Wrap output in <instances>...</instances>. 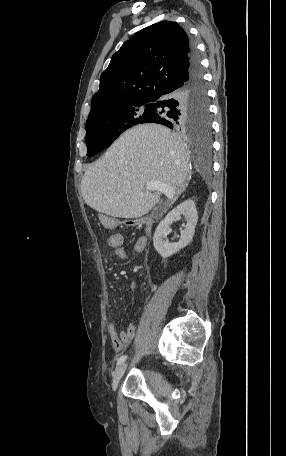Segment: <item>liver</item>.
<instances>
[{"instance_id": "liver-1", "label": "liver", "mask_w": 286, "mask_h": 456, "mask_svg": "<svg viewBox=\"0 0 286 456\" xmlns=\"http://www.w3.org/2000/svg\"><path fill=\"white\" fill-rule=\"evenodd\" d=\"M190 176V154L180 137L162 125L143 124L121 135L86 170L81 193L96 211L137 218L159 201L146 183L158 181L181 191Z\"/></svg>"}]
</instances>
